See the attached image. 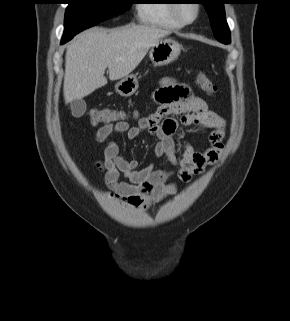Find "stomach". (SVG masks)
<instances>
[{"label":"stomach","mask_w":290,"mask_h":321,"mask_svg":"<svg viewBox=\"0 0 290 321\" xmlns=\"http://www.w3.org/2000/svg\"><path fill=\"white\" fill-rule=\"evenodd\" d=\"M182 46L171 38H161L151 47L149 58L154 66L167 65L178 58ZM138 80L134 75H128L116 83L115 89L124 97L133 95L138 89Z\"/></svg>","instance_id":"obj_1"}]
</instances>
